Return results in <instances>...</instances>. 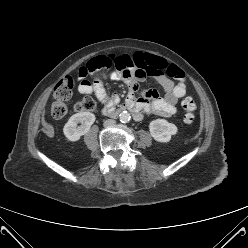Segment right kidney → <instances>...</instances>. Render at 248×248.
Instances as JSON below:
<instances>
[{"label": "right kidney", "mask_w": 248, "mask_h": 248, "mask_svg": "<svg viewBox=\"0 0 248 248\" xmlns=\"http://www.w3.org/2000/svg\"><path fill=\"white\" fill-rule=\"evenodd\" d=\"M95 115L90 112H79L71 116L63 128L64 135L70 141H77L86 134L95 122ZM81 123L80 126H77Z\"/></svg>", "instance_id": "right-kidney-1"}]
</instances>
